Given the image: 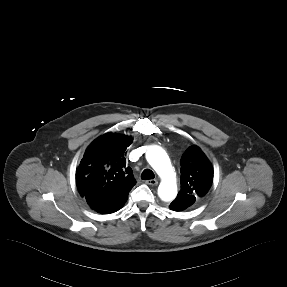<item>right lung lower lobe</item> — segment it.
<instances>
[{
    "instance_id": "98d812e1",
    "label": "right lung lower lobe",
    "mask_w": 287,
    "mask_h": 287,
    "mask_svg": "<svg viewBox=\"0 0 287 287\" xmlns=\"http://www.w3.org/2000/svg\"><path fill=\"white\" fill-rule=\"evenodd\" d=\"M125 191L117 192L106 196H86L85 199L89 206L98 213H113L123 207L128 198Z\"/></svg>"
}]
</instances>
